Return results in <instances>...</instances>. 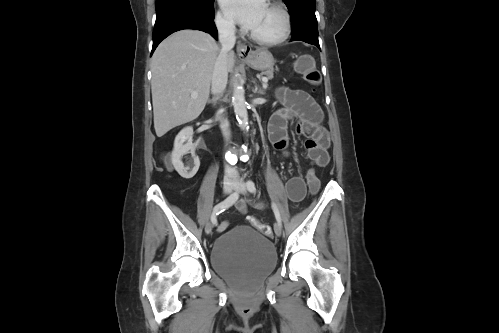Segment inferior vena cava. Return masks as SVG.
Returning <instances> with one entry per match:
<instances>
[{
  "label": "inferior vena cava",
  "mask_w": 499,
  "mask_h": 333,
  "mask_svg": "<svg viewBox=\"0 0 499 333\" xmlns=\"http://www.w3.org/2000/svg\"><path fill=\"white\" fill-rule=\"evenodd\" d=\"M219 32V42L221 43V50L216 59L213 75H212V86L211 92L219 96L223 94L228 80V70H227V56L228 52L234 47L236 37H235V25L232 22L220 21L217 23ZM220 128L226 141L230 139L229 122L222 116L219 117ZM226 174H236L237 170L235 167L225 165Z\"/></svg>",
  "instance_id": "inferior-vena-cava-1"
}]
</instances>
